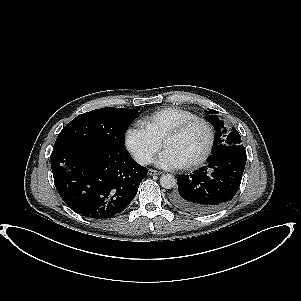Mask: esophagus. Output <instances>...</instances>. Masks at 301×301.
Here are the masks:
<instances>
[{
    "mask_svg": "<svg viewBox=\"0 0 301 301\" xmlns=\"http://www.w3.org/2000/svg\"><path fill=\"white\" fill-rule=\"evenodd\" d=\"M148 174L151 175V176L152 175H159V174H161V172L153 170V169H149Z\"/></svg>",
    "mask_w": 301,
    "mask_h": 301,
    "instance_id": "34e87169",
    "label": "esophagus"
}]
</instances>
